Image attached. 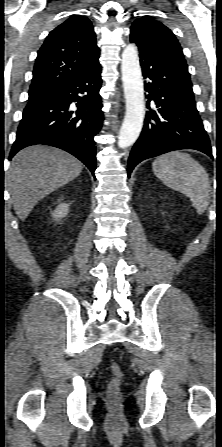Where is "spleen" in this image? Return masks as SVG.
Segmentation results:
<instances>
[{"instance_id": "1", "label": "spleen", "mask_w": 222, "mask_h": 447, "mask_svg": "<svg viewBox=\"0 0 222 447\" xmlns=\"http://www.w3.org/2000/svg\"><path fill=\"white\" fill-rule=\"evenodd\" d=\"M155 175L168 187L190 198L198 214L209 204V177L202 165L189 154L172 151L152 164Z\"/></svg>"}]
</instances>
